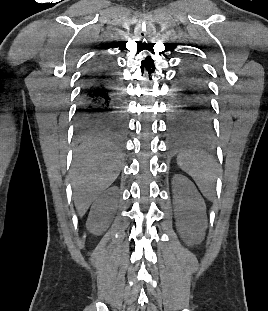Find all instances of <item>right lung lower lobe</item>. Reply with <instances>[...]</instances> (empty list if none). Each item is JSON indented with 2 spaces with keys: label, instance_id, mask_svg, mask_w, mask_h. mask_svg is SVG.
<instances>
[{
  "label": "right lung lower lobe",
  "instance_id": "obj_1",
  "mask_svg": "<svg viewBox=\"0 0 268 311\" xmlns=\"http://www.w3.org/2000/svg\"><path fill=\"white\" fill-rule=\"evenodd\" d=\"M125 99L113 63L97 60L87 71L76 110L80 139L105 137L121 141L127 130Z\"/></svg>",
  "mask_w": 268,
  "mask_h": 311
}]
</instances>
